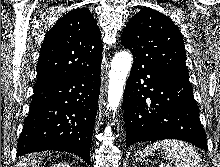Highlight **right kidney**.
Here are the masks:
<instances>
[{"mask_svg": "<svg viewBox=\"0 0 220 167\" xmlns=\"http://www.w3.org/2000/svg\"><path fill=\"white\" fill-rule=\"evenodd\" d=\"M53 167H70V165L67 162H60Z\"/></svg>", "mask_w": 220, "mask_h": 167, "instance_id": "right-kidney-1", "label": "right kidney"}]
</instances>
